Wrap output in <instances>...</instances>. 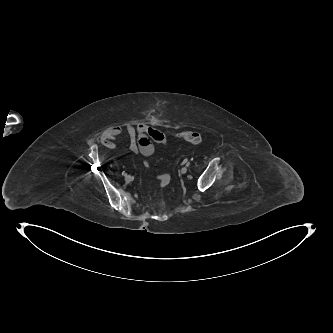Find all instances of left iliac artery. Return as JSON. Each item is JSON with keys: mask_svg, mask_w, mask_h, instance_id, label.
I'll return each mask as SVG.
<instances>
[{"mask_svg": "<svg viewBox=\"0 0 333 333\" xmlns=\"http://www.w3.org/2000/svg\"><path fill=\"white\" fill-rule=\"evenodd\" d=\"M183 163H186V166H189V164H190V162H189L187 159H185V160L183 161Z\"/></svg>", "mask_w": 333, "mask_h": 333, "instance_id": "obj_1", "label": "left iliac artery"}]
</instances>
